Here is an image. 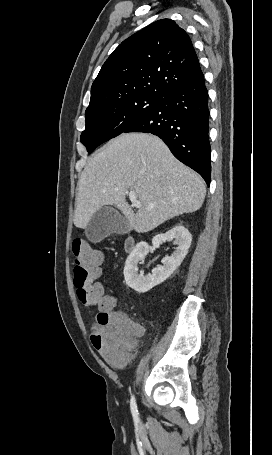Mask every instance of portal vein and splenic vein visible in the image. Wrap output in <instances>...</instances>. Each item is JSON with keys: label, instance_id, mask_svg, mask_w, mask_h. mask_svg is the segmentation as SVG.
Returning a JSON list of instances; mask_svg holds the SVG:
<instances>
[{"label": "portal vein and splenic vein", "instance_id": "18ae733b", "mask_svg": "<svg viewBox=\"0 0 272 455\" xmlns=\"http://www.w3.org/2000/svg\"><path fill=\"white\" fill-rule=\"evenodd\" d=\"M129 199L133 206H135L136 208L141 207V202L137 199V196L134 192H129Z\"/></svg>", "mask_w": 272, "mask_h": 455}]
</instances>
